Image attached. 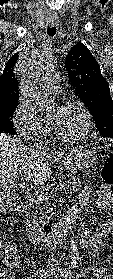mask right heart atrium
I'll return each instance as SVG.
<instances>
[{
	"instance_id": "1",
	"label": "right heart atrium",
	"mask_w": 113,
	"mask_h": 279,
	"mask_svg": "<svg viewBox=\"0 0 113 279\" xmlns=\"http://www.w3.org/2000/svg\"><path fill=\"white\" fill-rule=\"evenodd\" d=\"M12 124L18 134L28 141H37L47 133L44 122L33 113L22 97L12 113Z\"/></svg>"
}]
</instances>
